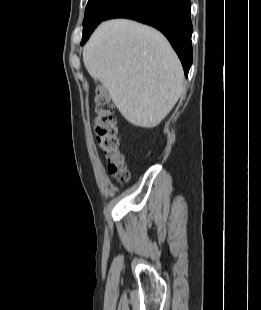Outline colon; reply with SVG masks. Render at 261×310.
I'll use <instances>...</instances> for the list:
<instances>
[{"label":"colon","instance_id":"colon-1","mask_svg":"<svg viewBox=\"0 0 261 310\" xmlns=\"http://www.w3.org/2000/svg\"><path fill=\"white\" fill-rule=\"evenodd\" d=\"M94 130L97 142L105 156L109 173L119 182L129 180L124 155L120 151L119 125L114 107L106 92L99 91L95 98Z\"/></svg>","mask_w":261,"mask_h":310}]
</instances>
